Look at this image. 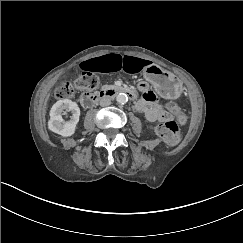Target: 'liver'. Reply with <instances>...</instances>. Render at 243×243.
Returning <instances> with one entry per match:
<instances>
[{"instance_id": "6515ba94", "label": "liver", "mask_w": 243, "mask_h": 243, "mask_svg": "<svg viewBox=\"0 0 243 243\" xmlns=\"http://www.w3.org/2000/svg\"><path fill=\"white\" fill-rule=\"evenodd\" d=\"M67 85L69 86V82H68L67 78H64L59 83V89L63 90V88H65ZM59 89H57V93H58Z\"/></svg>"}]
</instances>
